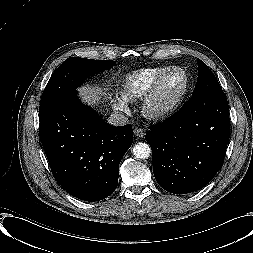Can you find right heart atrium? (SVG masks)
Here are the masks:
<instances>
[{
  "instance_id": "d8ad5b80",
  "label": "right heart atrium",
  "mask_w": 253,
  "mask_h": 253,
  "mask_svg": "<svg viewBox=\"0 0 253 253\" xmlns=\"http://www.w3.org/2000/svg\"><path fill=\"white\" fill-rule=\"evenodd\" d=\"M114 108L120 112H127L129 110L128 104L123 100H116L114 102Z\"/></svg>"
}]
</instances>
